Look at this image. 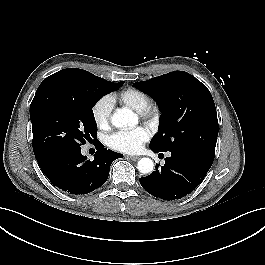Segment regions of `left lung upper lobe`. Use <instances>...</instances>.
Segmentation results:
<instances>
[{"instance_id":"1","label":"left lung upper lobe","mask_w":265,"mask_h":265,"mask_svg":"<svg viewBox=\"0 0 265 265\" xmlns=\"http://www.w3.org/2000/svg\"><path fill=\"white\" fill-rule=\"evenodd\" d=\"M134 87L152 96L162 112L150 149L192 151L214 160L218 119L207 87L187 72L174 71Z\"/></svg>"}]
</instances>
